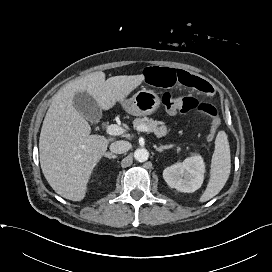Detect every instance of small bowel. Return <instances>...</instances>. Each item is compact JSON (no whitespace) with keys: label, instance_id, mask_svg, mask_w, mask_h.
Segmentation results:
<instances>
[{"label":"small bowel","instance_id":"obj_1","mask_svg":"<svg viewBox=\"0 0 272 272\" xmlns=\"http://www.w3.org/2000/svg\"><path fill=\"white\" fill-rule=\"evenodd\" d=\"M147 83L155 87L182 86L202 93H212L213 86L207 81L181 69L148 67L144 71Z\"/></svg>","mask_w":272,"mask_h":272}]
</instances>
